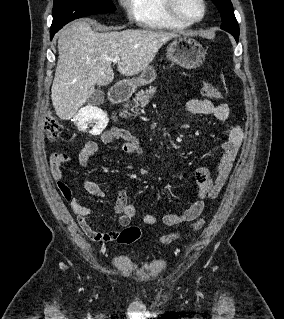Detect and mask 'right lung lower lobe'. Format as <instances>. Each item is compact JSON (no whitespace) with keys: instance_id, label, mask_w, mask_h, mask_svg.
Masks as SVG:
<instances>
[{"instance_id":"1","label":"right lung lower lobe","mask_w":284,"mask_h":319,"mask_svg":"<svg viewBox=\"0 0 284 319\" xmlns=\"http://www.w3.org/2000/svg\"><path fill=\"white\" fill-rule=\"evenodd\" d=\"M57 31H50V38L52 39L54 34L56 33Z\"/></svg>"}]
</instances>
